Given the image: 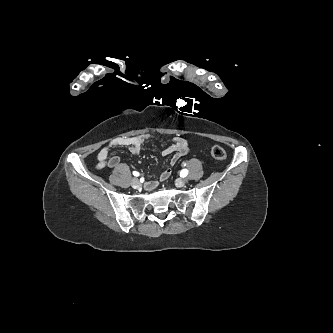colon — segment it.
<instances>
[{"label": "colon", "instance_id": "colon-1", "mask_svg": "<svg viewBox=\"0 0 333 333\" xmlns=\"http://www.w3.org/2000/svg\"><path fill=\"white\" fill-rule=\"evenodd\" d=\"M211 156L217 162H224L227 157L225 150L220 146H214L211 149Z\"/></svg>", "mask_w": 333, "mask_h": 333}]
</instances>
